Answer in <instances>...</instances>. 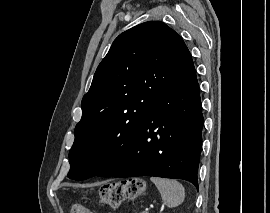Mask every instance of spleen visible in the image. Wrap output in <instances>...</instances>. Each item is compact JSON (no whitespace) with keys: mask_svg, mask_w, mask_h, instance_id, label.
<instances>
[{"mask_svg":"<svg viewBox=\"0 0 270 213\" xmlns=\"http://www.w3.org/2000/svg\"><path fill=\"white\" fill-rule=\"evenodd\" d=\"M150 180L158 188L164 203L168 207L179 206L185 199V190L176 180L151 177Z\"/></svg>","mask_w":270,"mask_h":213,"instance_id":"1","label":"spleen"}]
</instances>
